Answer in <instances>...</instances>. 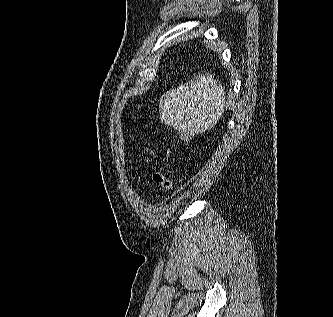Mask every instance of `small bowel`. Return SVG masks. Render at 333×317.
<instances>
[{"instance_id": "obj_1", "label": "small bowel", "mask_w": 333, "mask_h": 317, "mask_svg": "<svg viewBox=\"0 0 333 317\" xmlns=\"http://www.w3.org/2000/svg\"><path fill=\"white\" fill-rule=\"evenodd\" d=\"M146 152L149 155V157L147 158V161L149 162L151 160V157L153 156V151L150 148H147Z\"/></svg>"}]
</instances>
